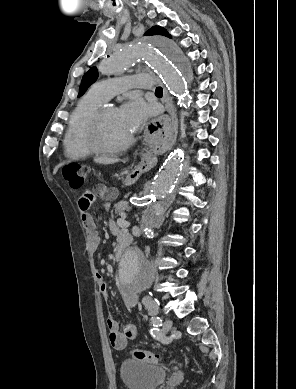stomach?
Here are the masks:
<instances>
[{
	"label": "stomach",
	"instance_id": "0dacf381",
	"mask_svg": "<svg viewBox=\"0 0 296 389\" xmlns=\"http://www.w3.org/2000/svg\"><path fill=\"white\" fill-rule=\"evenodd\" d=\"M125 176L128 185L137 186L139 185L141 179L145 176V173L138 168H129L126 171Z\"/></svg>",
	"mask_w": 296,
	"mask_h": 389
}]
</instances>
